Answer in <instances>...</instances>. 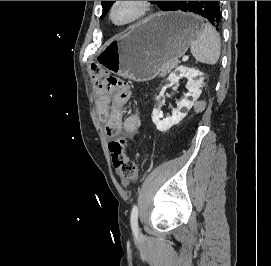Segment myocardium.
<instances>
[{
    "instance_id": "myocardium-1",
    "label": "myocardium",
    "mask_w": 271,
    "mask_h": 266,
    "mask_svg": "<svg viewBox=\"0 0 271 266\" xmlns=\"http://www.w3.org/2000/svg\"><path fill=\"white\" fill-rule=\"evenodd\" d=\"M121 2L123 1H113L108 12L109 20L112 22V24L118 27H130L141 22L143 19H145L149 15L152 8L151 1H132L133 3L138 5L137 13L134 15L133 18H131L128 21L117 22L114 19V10L116 6Z\"/></svg>"
}]
</instances>
